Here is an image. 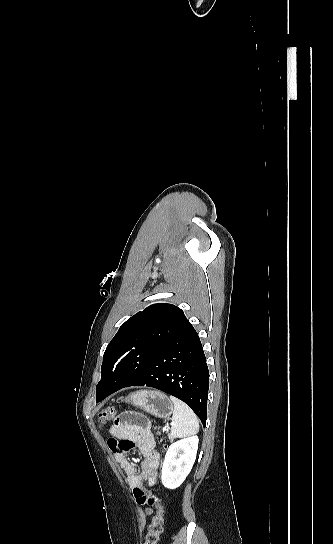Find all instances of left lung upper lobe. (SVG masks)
Segmentation results:
<instances>
[{"mask_svg":"<svg viewBox=\"0 0 333 544\" xmlns=\"http://www.w3.org/2000/svg\"><path fill=\"white\" fill-rule=\"evenodd\" d=\"M186 321L177 306L150 305L129 318L108 344L96 394L114 392L132 380Z\"/></svg>","mask_w":333,"mask_h":544,"instance_id":"obj_1","label":"left lung upper lobe"}]
</instances>
